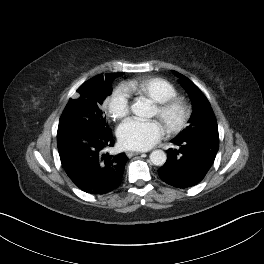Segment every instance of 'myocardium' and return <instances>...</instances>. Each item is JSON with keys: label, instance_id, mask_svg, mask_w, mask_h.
<instances>
[{"label": "myocardium", "instance_id": "obj_1", "mask_svg": "<svg viewBox=\"0 0 264 264\" xmlns=\"http://www.w3.org/2000/svg\"><path fill=\"white\" fill-rule=\"evenodd\" d=\"M157 116L164 123L168 133L180 132L190 118L189 104L182 97H172L164 102L157 103Z\"/></svg>", "mask_w": 264, "mask_h": 264}]
</instances>
